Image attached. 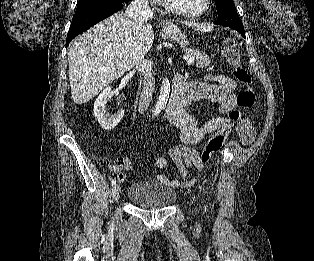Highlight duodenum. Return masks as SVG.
Returning a JSON list of instances; mask_svg holds the SVG:
<instances>
[{"label": "duodenum", "mask_w": 314, "mask_h": 261, "mask_svg": "<svg viewBox=\"0 0 314 261\" xmlns=\"http://www.w3.org/2000/svg\"><path fill=\"white\" fill-rule=\"evenodd\" d=\"M193 98L194 95L188 89L184 76H178L173 84L172 95L165 111V117L171 120L178 113L182 112Z\"/></svg>", "instance_id": "obj_1"}]
</instances>
